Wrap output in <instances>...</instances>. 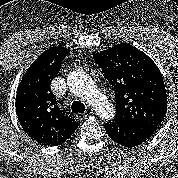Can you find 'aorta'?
I'll return each instance as SVG.
<instances>
[{"label":"aorta","mask_w":178,"mask_h":178,"mask_svg":"<svg viewBox=\"0 0 178 178\" xmlns=\"http://www.w3.org/2000/svg\"><path fill=\"white\" fill-rule=\"evenodd\" d=\"M69 89L77 96L85 98L103 119L115 116V108L96 87L92 78L84 71H73L67 77Z\"/></svg>","instance_id":"762f6f07"}]
</instances>
